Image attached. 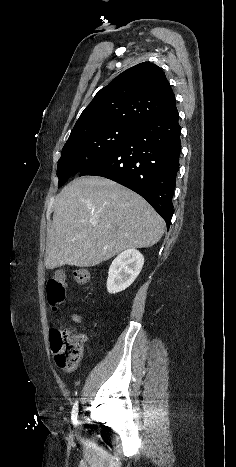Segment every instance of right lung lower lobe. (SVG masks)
Segmentation results:
<instances>
[{"mask_svg":"<svg viewBox=\"0 0 236 467\" xmlns=\"http://www.w3.org/2000/svg\"><path fill=\"white\" fill-rule=\"evenodd\" d=\"M177 108L138 128L114 151L80 172L111 179L141 195L170 227L179 169L181 127Z\"/></svg>","mask_w":236,"mask_h":467,"instance_id":"obj_1","label":"right lung lower lobe"}]
</instances>
